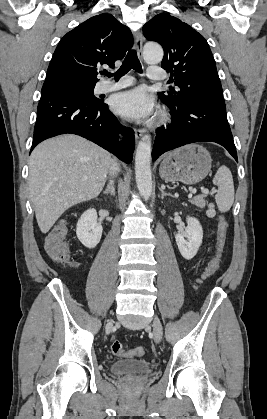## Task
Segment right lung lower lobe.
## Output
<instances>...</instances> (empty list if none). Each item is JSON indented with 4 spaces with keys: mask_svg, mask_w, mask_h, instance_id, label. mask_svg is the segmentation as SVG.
<instances>
[{
    "mask_svg": "<svg viewBox=\"0 0 267 419\" xmlns=\"http://www.w3.org/2000/svg\"><path fill=\"white\" fill-rule=\"evenodd\" d=\"M65 133L80 135L126 163L132 161L134 131L122 126L103 100L93 104L60 90L42 91L31 151L43 140ZM118 133L123 134L122 142L116 140Z\"/></svg>",
    "mask_w": 267,
    "mask_h": 419,
    "instance_id": "right-lung-lower-lobe-1",
    "label": "right lung lower lobe"
}]
</instances>
